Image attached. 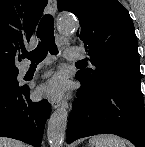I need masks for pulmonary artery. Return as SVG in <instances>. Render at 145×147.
Wrapping results in <instances>:
<instances>
[{"instance_id": "obj_1", "label": "pulmonary artery", "mask_w": 145, "mask_h": 147, "mask_svg": "<svg viewBox=\"0 0 145 147\" xmlns=\"http://www.w3.org/2000/svg\"><path fill=\"white\" fill-rule=\"evenodd\" d=\"M85 57L84 51L77 49V48H70L66 50V58L68 60H78ZM29 71L28 66H24L20 70V76H25Z\"/></svg>"}]
</instances>
